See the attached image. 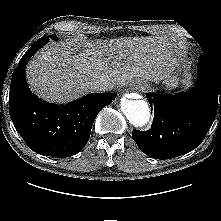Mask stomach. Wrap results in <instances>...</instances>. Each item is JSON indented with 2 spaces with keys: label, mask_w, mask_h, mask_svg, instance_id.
I'll list each match as a JSON object with an SVG mask.
<instances>
[{
  "label": "stomach",
  "mask_w": 221,
  "mask_h": 221,
  "mask_svg": "<svg viewBox=\"0 0 221 221\" xmlns=\"http://www.w3.org/2000/svg\"><path fill=\"white\" fill-rule=\"evenodd\" d=\"M135 83L139 86H148V81L144 79H136ZM163 85H165L167 89H174L178 86V79L176 76L170 74L163 79Z\"/></svg>",
  "instance_id": "obj_1"
}]
</instances>
